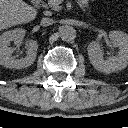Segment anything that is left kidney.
Segmentation results:
<instances>
[{"mask_svg":"<svg viewBox=\"0 0 128 128\" xmlns=\"http://www.w3.org/2000/svg\"><path fill=\"white\" fill-rule=\"evenodd\" d=\"M110 42L114 47H118V54L104 60L101 45L90 42L87 50L89 60L93 67L104 73H111L126 68L128 65V35L122 31H111L109 33Z\"/></svg>","mask_w":128,"mask_h":128,"instance_id":"5707ae66","label":"left kidney"}]
</instances>
